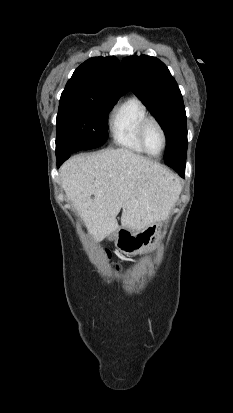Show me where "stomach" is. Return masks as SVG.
<instances>
[{
    "label": "stomach",
    "mask_w": 233,
    "mask_h": 413,
    "mask_svg": "<svg viewBox=\"0 0 233 413\" xmlns=\"http://www.w3.org/2000/svg\"><path fill=\"white\" fill-rule=\"evenodd\" d=\"M165 221L152 224L146 228L133 231L128 227H119L110 239L115 241L116 247L126 255H137L152 250L161 238Z\"/></svg>",
    "instance_id": "obj_1"
}]
</instances>
